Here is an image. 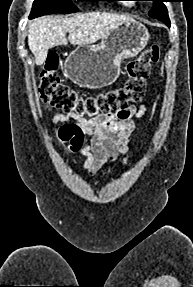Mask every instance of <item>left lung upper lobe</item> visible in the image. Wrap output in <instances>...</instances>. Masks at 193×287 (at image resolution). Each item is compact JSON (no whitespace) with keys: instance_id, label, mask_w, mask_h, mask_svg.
Listing matches in <instances>:
<instances>
[{"instance_id":"left-lung-upper-lobe-1","label":"left lung upper lobe","mask_w":193,"mask_h":287,"mask_svg":"<svg viewBox=\"0 0 193 287\" xmlns=\"http://www.w3.org/2000/svg\"><path fill=\"white\" fill-rule=\"evenodd\" d=\"M150 1H153V7L149 11V16L162 21L167 26H170L168 11L166 6L164 5V2L166 0H150Z\"/></svg>"}]
</instances>
